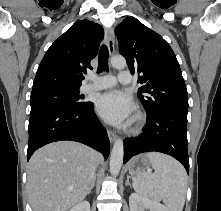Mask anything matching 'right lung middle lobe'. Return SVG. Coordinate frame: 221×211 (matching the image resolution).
Segmentation results:
<instances>
[{"mask_svg": "<svg viewBox=\"0 0 221 211\" xmlns=\"http://www.w3.org/2000/svg\"><path fill=\"white\" fill-rule=\"evenodd\" d=\"M79 88H46L32 91L30 102L31 110L48 105H62L68 107H81L86 104L81 101Z\"/></svg>", "mask_w": 221, "mask_h": 211, "instance_id": "dd1d6c3e", "label": "right lung middle lobe"}]
</instances>
